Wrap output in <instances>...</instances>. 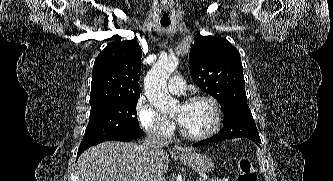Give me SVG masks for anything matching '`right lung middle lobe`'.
<instances>
[{
	"mask_svg": "<svg viewBox=\"0 0 333 181\" xmlns=\"http://www.w3.org/2000/svg\"><path fill=\"white\" fill-rule=\"evenodd\" d=\"M138 98L92 107L80 145L107 139L138 138L144 134L136 117Z\"/></svg>",
	"mask_w": 333,
	"mask_h": 181,
	"instance_id": "1",
	"label": "right lung middle lobe"
}]
</instances>
